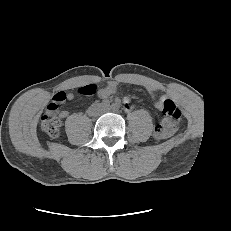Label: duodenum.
<instances>
[{
  "label": "duodenum",
  "instance_id": "duodenum-1",
  "mask_svg": "<svg viewBox=\"0 0 231 231\" xmlns=\"http://www.w3.org/2000/svg\"><path fill=\"white\" fill-rule=\"evenodd\" d=\"M102 98H106L109 96V94L107 92H102L100 95Z\"/></svg>",
  "mask_w": 231,
  "mask_h": 231
}]
</instances>
